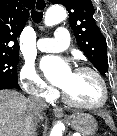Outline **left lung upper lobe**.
<instances>
[{
  "label": "left lung upper lobe",
  "mask_w": 117,
  "mask_h": 136,
  "mask_svg": "<svg viewBox=\"0 0 117 136\" xmlns=\"http://www.w3.org/2000/svg\"><path fill=\"white\" fill-rule=\"evenodd\" d=\"M64 5L69 12L70 26L77 43L89 61L102 74L108 73L107 44L93 18L95 9L91 0H50Z\"/></svg>",
  "instance_id": "obj_1"
}]
</instances>
